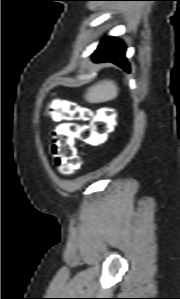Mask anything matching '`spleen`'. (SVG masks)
Masks as SVG:
<instances>
[{"instance_id":"spleen-1","label":"spleen","mask_w":180,"mask_h":299,"mask_svg":"<svg viewBox=\"0 0 180 299\" xmlns=\"http://www.w3.org/2000/svg\"><path fill=\"white\" fill-rule=\"evenodd\" d=\"M117 94V85L111 80H104L88 88L85 99L90 103H100L114 99Z\"/></svg>"}]
</instances>
